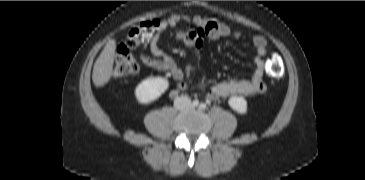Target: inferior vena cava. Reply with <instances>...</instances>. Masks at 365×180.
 I'll list each match as a JSON object with an SVG mask.
<instances>
[{"label": "inferior vena cava", "instance_id": "1", "mask_svg": "<svg viewBox=\"0 0 365 180\" xmlns=\"http://www.w3.org/2000/svg\"><path fill=\"white\" fill-rule=\"evenodd\" d=\"M191 105V100L188 97L182 96L178 97L174 101V106L176 109H184Z\"/></svg>", "mask_w": 365, "mask_h": 180}]
</instances>
